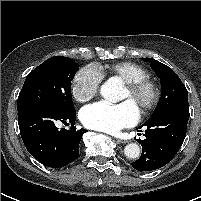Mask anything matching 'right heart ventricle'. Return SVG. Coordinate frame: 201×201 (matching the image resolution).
Segmentation results:
<instances>
[{"instance_id": "e07e8e85", "label": "right heart ventricle", "mask_w": 201, "mask_h": 201, "mask_svg": "<svg viewBox=\"0 0 201 201\" xmlns=\"http://www.w3.org/2000/svg\"><path fill=\"white\" fill-rule=\"evenodd\" d=\"M101 76L108 74L111 77L120 78L123 82L134 81L148 76L147 70L134 62L121 61L98 67Z\"/></svg>"}]
</instances>
